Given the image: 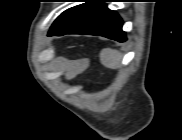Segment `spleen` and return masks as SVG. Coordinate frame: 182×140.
I'll return each mask as SVG.
<instances>
[{
    "mask_svg": "<svg viewBox=\"0 0 182 140\" xmlns=\"http://www.w3.org/2000/svg\"><path fill=\"white\" fill-rule=\"evenodd\" d=\"M121 54L117 50L103 49L100 53L101 63L111 69H116L120 65Z\"/></svg>",
    "mask_w": 182,
    "mask_h": 140,
    "instance_id": "spleen-1",
    "label": "spleen"
}]
</instances>
